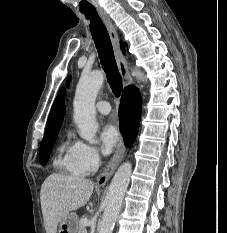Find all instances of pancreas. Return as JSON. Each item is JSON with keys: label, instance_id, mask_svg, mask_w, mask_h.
<instances>
[{"label": "pancreas", "instance_id": "pancreas-1", "mask_svg": "<svg viewBox=\"0 0 227 233\" xmlns=\"http://www.w3.org/2000/svg\"><path fill=\"white\" fill-rule=\"evenodd\" d=\"M77 233H86V227L81 222H79Z\"/></svg>", "mask_w": 227, "mask_h": 233}]
</instances>
